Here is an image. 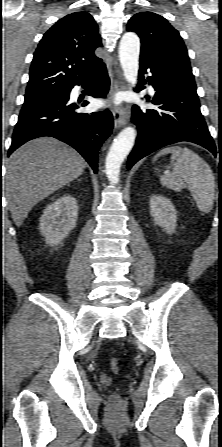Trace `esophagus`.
<instances>
[{"label":"esophagus","instance_id":"obj_1","mask_svg":"<svg viewBox=\"0 0 222 447\" xmlns=\"http://www.w3.org/2000/svg\"><path fill=\"white\" fill-rule=\"evenodd\" d=\"M125 89L124 82L122 81V76L120 71H116V74L112 80L111 85V94L118 90ZM113 118H114V127L118 129L125 125L129 118V109L124 105H120L118 107L114 106L112 108Z\"/></svg>","mask_w":222,"mask_h":447}]
</instances>
